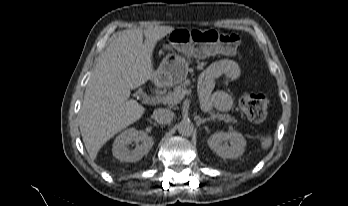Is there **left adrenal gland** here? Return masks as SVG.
Listing matches in <instances>:
<instances>
[{"instance_id": "left-adrenal-gland-1", "label": "left adrenal gland", "mask_w": 348, "mask_h": 206, "mask_svg": "<svg viewBox=\"0 0 348 206\" xmlns=\"http://www.w3.org/2000/svg\"><path fill=\"white\" fill-rule=\"evenodd\" d=\"M195 118L197 120L198 125L204 124L205 122L212 120L210 118H200L199 116H196Z\"/></svg>"}]
</instances>
